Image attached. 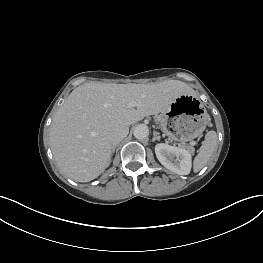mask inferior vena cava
<instances>
[{
  "label": "inferior vena cava",
  "instance_id": "602c4592",
  "mask_svg": "<svg viewBox=\"0 0 263 263\" xmlns=\"http://www.w3.org/2000/svg\"><path fill=\"white\" fill-rule=\"evenodd\" d=\"M129 128L127 126L116 127L110 135L112 145H117L122 141L128 134Z\"/></svg>",
  "mask_w": 263,
  "mask_h": 263
}]
</instances>
